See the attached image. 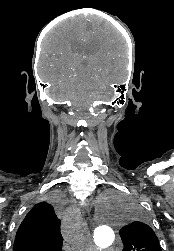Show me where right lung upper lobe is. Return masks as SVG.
<instances>
[{
	"mask_svg": "<svg viewBox=\"0 0 174 251\" xmlns=\"http://www.w3.org/2000/svg\"><path fill=\"white\" fill-rule=\"evenodd\" d=\"M59 208L48 202L36 204L17 230L13 250L62 251Z\"/></svg>",
	"mask_w": 174,
	"mask_h": 251,
	"instance_id": "cb5924a9",
	"label": "right lung upper lobe"
}]
</instances>
